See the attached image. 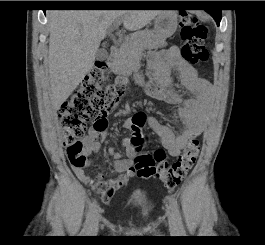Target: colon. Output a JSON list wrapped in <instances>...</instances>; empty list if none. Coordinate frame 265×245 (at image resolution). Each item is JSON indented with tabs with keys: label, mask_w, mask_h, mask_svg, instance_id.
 Wrapping results in <instances>:
<instances>
[{
	"label": "colon",
	"mask_w": 265,
	"mask_h": 245,
	"mask_svg": "<svg viewBox=\"0 0 265 245\" xmlns=\"http://www.w3.org/2000/svg\"><path fill=\"white\" fill-rule=\"evenodd\" d=\"M207 27L204 21L185 13L181 16L182 58L191 64H203L209 60L205 45ZM108 65L105 61L96 62L82 82L74 89L58 110L66 156L74 167H84L83 139L88 132L89 123L95 120L94 127L101 130L105 127L103 117L113 112L118 106L125 90L122 85L107 83ZM146 122V115L136 113L131 118V143L136 150H141L147 141L141 129ZM200 141L197 136L190 138L182 152L173 162H168L164 150L157 149L152 153H141L136 159L132 171L138 177L149 179L159 177L167 188L180 184L193 167L200 152ZM111 190V187H109Z\"/></svg>",
	"instance_id": "obj_1"
}]
</instances>
